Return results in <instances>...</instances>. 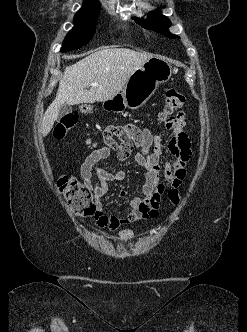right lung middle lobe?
<instances>
[{
	"label": "right lung middle lobe",
	"instance_id": "1",
	"mask_svg": "<svg viewBox=\"0 0 247 332\" xmlns=\"http://www.w3.org/2000/svg\"><path fill=\"white\" fill-rule=\"evenodd\" d=\"M100 7L93 9H80L74 16V27L66 35L61 52L79 49L92 38L98 21Z\"/></svg>",
	"mask_w": 247,
	"mask_h": 332
}]
</instances>
